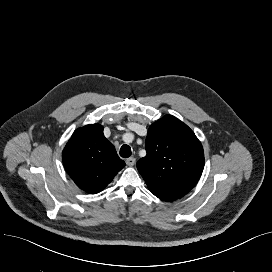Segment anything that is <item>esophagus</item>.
Returning <instances> with one entry per match:
<instances>
[{
    "label": "esophagus",
    "mask_w": 272,
    "mask_h": 272,
    "mask_svg": "<svg viewBox=\"0 0 272 272\" xmlns=\"http://www.w3.org/2000/svg\"><path fill=\"white\" fill-rule=\"evenodd\" d=\"M126 164L128 166H133L135 164V158L130 157V158L126 159Z\"/></svg>",
    "instance_id": "obj_1"
}]
</instances>
